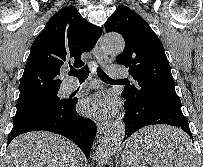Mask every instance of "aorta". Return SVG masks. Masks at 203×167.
Segmentation results:
<instances>
[{"instance_id": "obj_1", "label": "aorta", "mask_w": 203, "mask_h": 167, "mask_svg": "<svg viewBox=\"0 0 203 167\" xmlns=\"http://www.w3.org/2000/svg\"><path fill=\"white\" fill-rule=\"evenodd\" d=\"M125 47L124 39L118 34H106L102 39V48L105 52L118 55ZM125 137V125L122 121L113 124L102 137L96 151L99 165L106 164L114 155Z\"/></svg>"}]
</instances>
